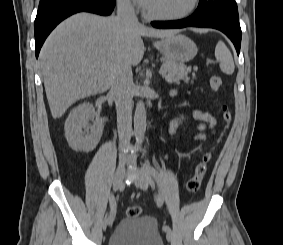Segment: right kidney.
<instances>
[{
  "mask_svg": "<svg viewBox=\"0 0 283 245\" xmlns=\"http://www.w3.org/2000/svg\"><path fill=\"white\" fill-rule=\"evenodd\" d=\"M92 126L89 120H94ZM103 121L89 102L75 107L65 122V137L69 146L76 151L90 152L98 144L103 133Z\"/></svg>",
  "mask_w": 283,
  "mask_h": 245,
  "instance_id": "right-kidney-1",
  "label": "right kidney"
}]
</instances>
